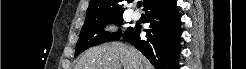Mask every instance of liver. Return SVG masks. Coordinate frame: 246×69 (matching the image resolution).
Wrapping results in <instances>:
<instances>
[{
	"mask_svg": "<svg viewBox=\"0 0 246 69\" xmlns=\"http://www.w3.org/2000/svg\"><path fill=\"white\" fill-rule=\"evenodd\" d=\"M75 69H153L135 48L120 42L105 43L88 49Z\"/></svg>",
	"mask_w": 246,
	"mask_h": 69,
	"instance_id": "liver-1",
	"label": "liver"
}]
</instances>
